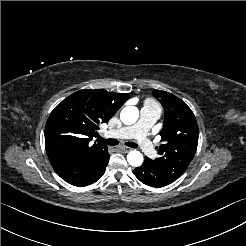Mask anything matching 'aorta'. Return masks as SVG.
<instances>
[{"mask_svg":"<svg viewBox=\"0 0 246 246\" xmlns=\"http://www.w3.org/2000/svg\"><path fill=\"white\" fill-rule=\"evenodd\" d=\"M139 117V110L135 106H126L120 113L121 121L126 125L134 124ZM143 155L139 151H131L127 155V161L131 166L139 167L143 163Z\"/></svg>","mask_w":246,"mask_h":246,"instance_id":"1","label":"aorta"}]
</instances>
